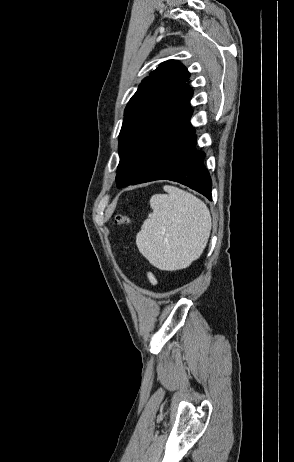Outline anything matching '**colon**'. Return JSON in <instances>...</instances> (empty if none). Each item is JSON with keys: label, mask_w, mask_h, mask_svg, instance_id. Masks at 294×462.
<instances>
[{"label": "colon", "mask_w": 294, "mask_h": 462, "mask_svg": "<svg viewBox=\"0 0 294 462\" xmlns=\"http://www.w3.org/2000/svg\"><path fill=\"white\" fill-rule=\"evenodd\" d=\"M116 223H126L127 222V217L125 215H118L115 220Z\"/></svg>", "instance_id": "5ec220e1"}]
</instances>
